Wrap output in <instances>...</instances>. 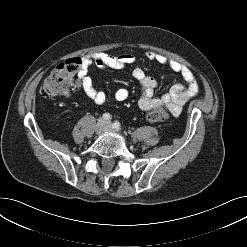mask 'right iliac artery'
Returning a JSON list of instances; mask_svg holds the SVG:
<instances>
[{
	"mask_svg": "<svg viewBox=\"0 0 247 247\" xmlns=\"http://www.w3.org/2000/svg\"><path fill=\"white\" fill-rule=\"evenodd\" d=\"M103 118L105 120H110L111 119V115L109 113H105V114H103Z\"/></svg>",
	"mask_w": 247,
	"mask_h": 247,
	"instance_id": "right-iliac-artery-1",
	"label": "right iliac artery"
}]
</instances>
